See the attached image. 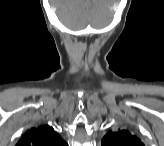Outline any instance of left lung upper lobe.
Here are the masks:
<instances>
[{
	"label": "left lung upper lobe",
	"mask_w": 164,
	"mask_h": 146,
	"mask_svg": "<svg viewBox=\"0 0 164 146\" xmlns=\"http://www.w3.org/2000/svg\"><path fill=\"white\" fill-rule=\"evenodd\" d=\"M102 146H144L140 139L127 130L109 131L101 141Z\"/></svg>",
	"instance_id": "5c2ea615"
}]
</instances>
